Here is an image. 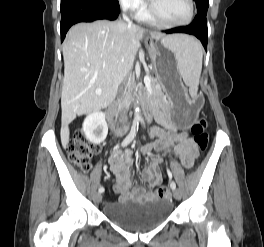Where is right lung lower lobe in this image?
Wrapping results in <instances>:
<instances>
[{"label":"right lung lower lobe","instance_id":"obj_1","mask_svg":"<svg viewBox=\"0 0 264 247\" xmlns=\"http://www.w3.org/2000/svg\"><path fill=\"white\" fill-rule=\"evenodd\" d=\"M60 10L61 41L73 24L99 19L115 20L120 11L118 0H61Z\"/></svg>","mask_w":264,"mask_h":247}]
</instances>
